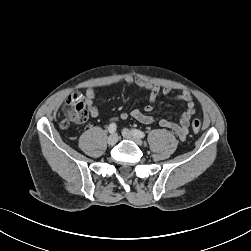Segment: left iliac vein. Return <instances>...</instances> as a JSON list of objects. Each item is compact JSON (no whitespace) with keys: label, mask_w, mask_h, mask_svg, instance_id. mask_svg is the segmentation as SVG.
I'll return each mask as SVG.
<instances>
[{"label":"left iliac vein","mask_w":251,"mask_h":251,"mask_svg":"<svg viewBox=\"0 0 251 251\" xmlns=\"http://www.w3.org/2000/svg\"><path fill=\"white\" fill-rule=\"evenodd\" d=\"M122 135L125 139L131 140L135 142L137 145L141 146L143 144V141L140 137L136 136L133 131H130L129 129H123Z\"/></svg>","instance_id":"obj_1"}]
</instances>
